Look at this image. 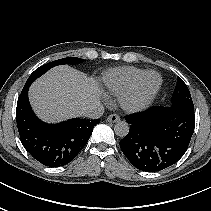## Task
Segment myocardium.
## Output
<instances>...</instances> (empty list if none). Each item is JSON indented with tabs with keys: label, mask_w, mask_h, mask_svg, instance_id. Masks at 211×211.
Returning <instances> with one entry per match:
<instances>
[{
	"label": "myocardium",
	"mask_w": 211,
	"mask_h": 211,
	"mask_svg": "<svg viewBox=\"0 0 211 211\" xmlns=\"http://www.w3.org/2000/svg\"><path fill=\"white\" fill-rule=\"evenodd\" d=\"M157 75L158 85L149 93H143V84L148 76ZM163 85V78L157 71H146L135 83V85L120 97L121 107L128 112H141L146 110L154 102Z\"/></svg>",
	"instance_id": "f54148a6"
}]
</instances>
